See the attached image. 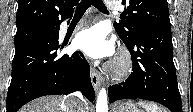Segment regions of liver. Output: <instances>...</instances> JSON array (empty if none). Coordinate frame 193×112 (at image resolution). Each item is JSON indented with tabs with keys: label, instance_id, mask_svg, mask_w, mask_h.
<instances>
[{
	"label": "liver",
	"instance_id": "liver-1",
	"mask_svg": "<svg viewBox=\"0 0 193 112\" xmlns=\"http://www.w3.org/2000/svg\"><path fill=\"white\" fill-rule=\"evenodd\" d=\"M70 101H63L56 96H45L38 98L23 108L19 112H70ZM85 110L88 112V103L84 102Z\"/></svg>",
	"mask_w": 193,
	"mask_h": 112
}]
</instances>
